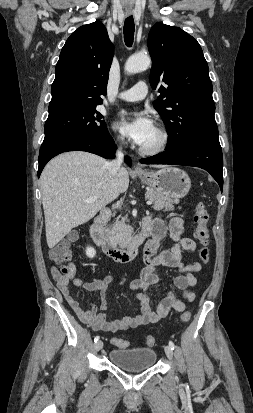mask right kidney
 Wrapping results in <instances>:
<instances>
[{
  "label": "right kidney",
  "instance_id": "ca27d5eb",
  "mask_svg": "<svg viewBox=\"0 0 253 413\" xmlns=\"http://www.w3.org/2000/svg\"><path fill=\"white\" fill-rule=\"evenodd\" d=\"M86 255H87V257H89V258H94L95 255H96L95 249L92 248V247H87V248H86Z\"/></svg>",
  "mask_w": 253,
  "mask_h": 413
}]
</instances>
